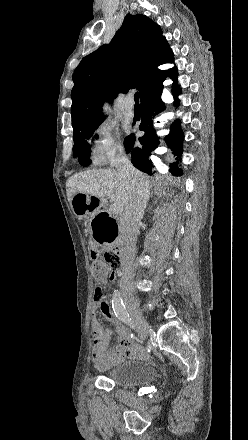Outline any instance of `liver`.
<instances>
[{"label":"liver","instance_id":"liver-1","mask_svg":"<svg viewBox=\"0 0 248 440\" xmlns=\"http://www.w3.org/2000/svg\"><path fill=\"white\" fill-rule=\"evenodd\" d=\"M142 175L148 182V177ZM66 193L69 202L74 194L84 193L97 198L108 197L114 203L126 207L133 198L134 184L114 169H91L69 177Z\"/></svg>","mask_w":248,"mask_h":440}]
</instances>
